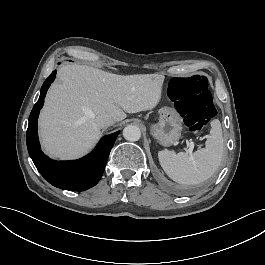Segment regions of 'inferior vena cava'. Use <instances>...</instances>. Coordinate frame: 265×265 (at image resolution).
Instances as JSON below:
<instances>
[{
	"label": "inferior vena cava",
	"mask_w": 265,
	"mask_h": 265,
	"mask_svg": "<svg viewBox=\"0 0 265 265\" xmlns=\"http://www.w3.org/2000/svg\"><path fill=\"white\" fill-rule=\"evenodd\" d=\"M114 119L109 115H102L97 118V123L100 128H106L114 124Z\"/></svg>",
	"instance_id": "obj_1"
}]
</instances>
